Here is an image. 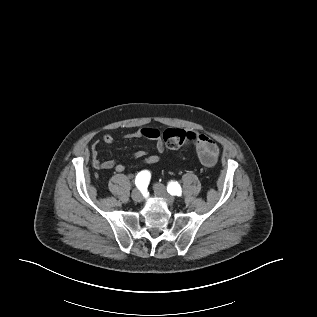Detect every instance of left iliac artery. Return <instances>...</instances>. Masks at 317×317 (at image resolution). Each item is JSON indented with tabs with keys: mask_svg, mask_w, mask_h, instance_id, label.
Masks as SVG:
<instances>
[{
	"mask_svg": "<svg viewBox=\"0 0 317 317\" xmlns=\"http://www.w3.org/2000/svg\"><path fill=\"white\" fill-rule=\"evenodd\" d=\"M167 191L171 195L180 196L182 194V190H181L180 185L178 184V182H175V181L169 182L168 187H167Z\"/></svg>",
	"mask_w": 317,
	"mask_h": 317,
	"instance_id": "left-iliac-artery-1",
	"label": "left iliac artery"
}]
</instances>
